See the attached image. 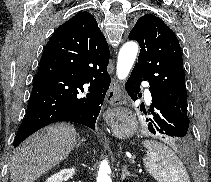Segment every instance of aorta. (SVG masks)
Returning <instances> with one entry per match:
<instances>
[{"label": "aorta", "mask_w": 211, "mask_h": 182, "mask_svg": "<svg viewBox=\"0 0 211 182\" xmlns=\"http://www.w3.org/2000/svg\"><path fill=\"white\" fill-rule=\"evenodd\" d=\"M138 44L134 41L126 42L120 49L117 61V77L125 80L132 69L138 53ZM110 166L107 160H103L99 166L97 182H112L110 176Z\"/></svg>", "instance_id": "aorta-1"}]
</instances>
